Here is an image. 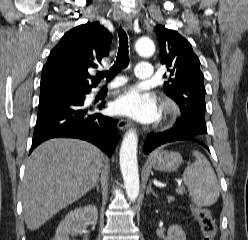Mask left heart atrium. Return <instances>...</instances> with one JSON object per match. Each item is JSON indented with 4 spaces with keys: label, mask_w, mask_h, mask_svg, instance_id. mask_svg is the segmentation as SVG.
Returning <instances> with one entry per match:
<instances>
[{
    "label": "left heart atrium",
    "mask_w": 248,
    "mask_h": 240,
    "mask_svg": "<svg viewBox=\"0 0 248 240\" xmlns=\"http://www.w3.org/2000/svg\"><path fill=\"white\" fill-rule=\"evenodd\" d=\"M114 106L119 114L145 123L154 122L160 116L155 96L139 87L126 90L115 101Z\"/></svg>",
    "instance_id": "obj_1"
}]
</instances>
